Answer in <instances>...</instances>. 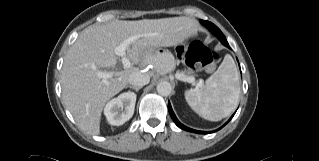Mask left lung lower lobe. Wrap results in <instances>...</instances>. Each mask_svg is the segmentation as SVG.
<instances>
[{"label":"left lung lower lobe","instance_id":"obj_1","mask_svg":"<svg viewBox=\"0 0 319 161\" xmlns=\"http://www.w3.org/2000/svg\"><path fill=\"white\" fill-rule=\"evenodd\" d=\"M208 22H209V21H208ZM201 23H202L204 26H206V27H207V25H208L207 21H204V20H201ZM207 28H208L209 30H211V32H212L213 34H214V32H216L217 30H219V28H218L217 26H215L214 24H213V26L207 27ZM225 46L229 47L228 43H226ZM168 110H169V113H170L171 118L173 119L174 123H175L179 128H181V129H183V130H186V131H189V132L198 133V134H208V133H211V132H205V131L194 130V129L188 128V127H186L185 125H183L182 123H180L179 120L177 119V117L175 116L173 110H172V107H171L170 102L168 103ZM233 116H234V115H233ZM233 116H232V117H233ZM232 117H231V118H232ZM231 118H230L229 120H231ZM227 123H228V122H227ZM227 123H225L223 126H225ZM223 126H222V127H223ZM222 127H220V128L217 129V130H220ZM217 130H215V131H217ZM215 131H213V132H215Z\"/></svg>","mask_w":319,"mask_h":161}]
</instances>
